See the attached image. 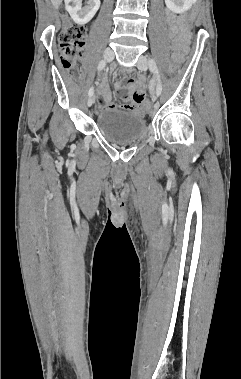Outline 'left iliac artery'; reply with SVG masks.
Here are the masks:
<instances>
[{"label": "left iliac artery", "mask_w": 241, "mask_h": 379, "mask_svg": "<svg viewBox=\"0 0 241 379\" xmlns=\"http://www.w3.org/2000/svg\"><path fill=\"white\" fill-rule=\"evenodd\" d=\"M149 67L150 70L155 74L156 79H157V87H156V93L157 95H160L162 92V84H161V78L159 74L158 67L153 59L149 60Z\"/></svg>", "instance_id": "44dca946"}]
</instances>
